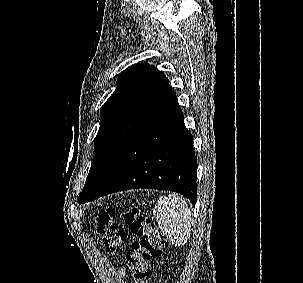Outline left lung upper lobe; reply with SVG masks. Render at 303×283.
<instances>
[{"mask_svg":"<svg viewBox=\"0 0 303 283\" xmlns=\"http://www.w3.org/2000/svg\"><path fill=\"white\" fill-rule=\"evenodd\" d=\"M166 79L162 71L145 63L121 73L115 91L102 106L95 157L80 195L97 190L108 178Z\"/></svg>","mask_w":303,"mask_h":283,"instance_id":"left-lung-upper-lobe-1","label":"left lung upper lobe"}]
</instances>
